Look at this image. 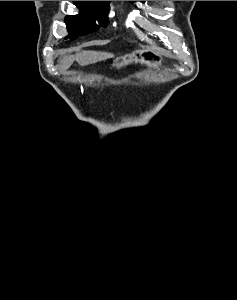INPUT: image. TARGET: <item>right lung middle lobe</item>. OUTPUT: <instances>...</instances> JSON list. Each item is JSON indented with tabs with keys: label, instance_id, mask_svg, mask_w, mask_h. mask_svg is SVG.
Instances as JSON below:
<instances>
[{
	"label": "right lung middle lobe",
	"instance_id": "obj_1",
	"mask_svg": "<svg viewBox=\"0 0 237 300\" xmlns=\"http://www.w3.org/2000/svg\"><path fill=\"white\" fill-rule=\"evenodd\" d=\"M73 2L81 10V14L66 17L65 23L69 32V36L66 38H71L72 40L78 36L96 31L99 26L95 24V19L99 17L100 13L104 15L109 11L108 4H99L91 1ZM107 22L108 21L104 18V24H107Z\"/></svg>",
	"mask_w": 237,
	"mask_h": 300
}]
</instances>
